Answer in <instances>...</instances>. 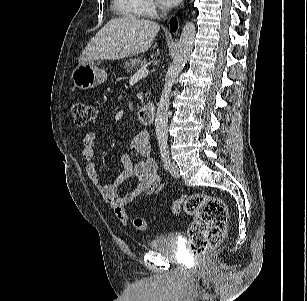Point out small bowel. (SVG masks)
I'll list each match as a JSON object with an SVG mask.
<instances>
[{
	"mask_svg": "<svg viewBox=\"0 0 307 301\" xmlns=\"http://www.w3.org/2000/svg\"><path fill=\"white\" fill-rule=\"evenodd\" d=\"M98 138L96 131H88L83 137L82 157L89 163L86 165V174L89 180L97 187L105 202L113 209L118 220L125 225L128 222V208L142 196H154L163 189L157 166L152 158L150 137L146 131L138 132L131 142V151L142 156V160L134 162L131 152L121 156L122 171L108 184L102 182L95 164L90 161L94 157V145ZM130 178H136L135 187L124 195L119 193L120 188Z\"/></svg>",
	"mask_w": 307,
	"mask_h": 301,
	"instance_id": "small-bowel-1",
	"label": "small bowel"
}]
</instances>
